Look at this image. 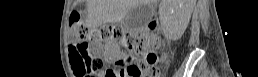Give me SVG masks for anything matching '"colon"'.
I'll return each mask as SVG.
<instances>
[{
  "instance_id": "5ec220e1",
  "label": "colon",
  "mask_w": 258,
  "mask_h": 77,
  "mask_svg": "<svg viewBox=\"0 0 258 77\" xmlns=\"http://www.w3.org/2000/svg\"><path fill=\"white\" fill-rule=\"evenodd\" d=\"M70 25L76 43L70 48L71 63L77 77L92 76L104 66L101 57H92L90 51L114 46L123 47L127 53L117 64L120 70L111 72V77H158L156 64L159 56L154 52L160 41L149 34H131L120 26L104 25L91 28L83 23L79 15L72 13Z\"/></svg>"
}]
</instances>
